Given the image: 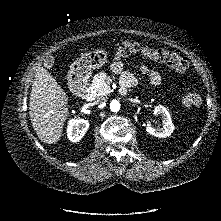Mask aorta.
I'll use <instances>...</instances> for the list:
<instances>
[{
	"label": "aorta",
	"mask_w": 221,
	"mask_h": 221,
	"mask_svg": "<svg viewBox=\"0 0 221 221\" xmlns=\"http://www.w3.org/2000/svg\"><path fill=\"white\" fill-rule=\"evenodd\" d=\"M110 109L112 112L117 113L120 110V103L117 100H113L110 103Z\"/></svg>",
	"instance_id": "762f6f07"
}]
</instances>
